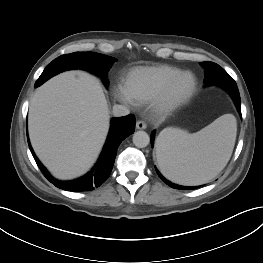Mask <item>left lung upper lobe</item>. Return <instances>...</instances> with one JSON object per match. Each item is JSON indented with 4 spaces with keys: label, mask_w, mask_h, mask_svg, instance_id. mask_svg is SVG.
<instances>
[{
    "label": "left lung upper lobe",
    "mask_w": 263,
    "mask_h": 263,
    "mask_svg": "<svg viewBox=\"0 0 263 263\" xmlns=\"http://www.w3.org/2000/svg\"><path fill=\"white\" fill-rule=\"evenodd\" d=\"M226 82L234 83L235 81L229 76V74L222 68L215 73L213 84L222 85Z\"/></svg>",
    "instance_id": "left-lung-upper-lobe-1"
}]
</instances>
